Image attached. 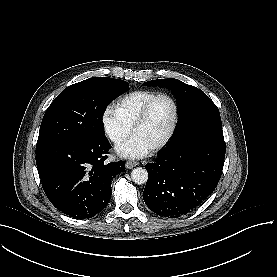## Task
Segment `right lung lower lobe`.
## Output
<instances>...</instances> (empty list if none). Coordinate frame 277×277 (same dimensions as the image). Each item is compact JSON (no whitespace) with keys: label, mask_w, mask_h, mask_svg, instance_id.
Returning <instances> with one entry per match:
<instances>
[{"label":"right lung lower lobe","mask_w":277,"mask_h":277,"mask_svg":"<svg viewBox=\"0 0 277 277\" xmlns=\"http://www.w3.org/2000/svg\"><path fill=\"white\" fill-rule=\"evenodd\" d=\"M107 138L51 141L36 145V164L50 202L76 219L94 217L111 199V180L123 161L106 163Z\"/></svg>","instance_id":"right-lung-lower-lobe-1"}]
</instances>
